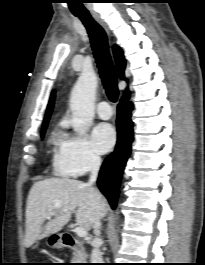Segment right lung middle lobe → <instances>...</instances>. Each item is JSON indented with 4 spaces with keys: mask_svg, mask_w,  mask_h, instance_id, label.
<instances>
[{
    "mask_svg": "<svg viewBox=\"0 0 205 265\" xmlns=\"http://www.w3.org/2000/svg\"><path fill=\"white\" fill-rule=\"evenodd\" d=\"M45 130H46V126L42 127V137L44 136Z\"/></svg>",
    "mask_w": 205,
    "mask_h": 265,
    "instance_id": "1",
    "label": "right lung middle lobe"
}]
</instances>
